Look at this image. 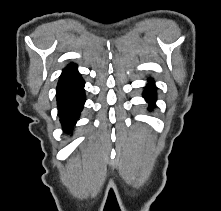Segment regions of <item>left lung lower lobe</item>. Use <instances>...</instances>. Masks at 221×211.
<instances>
[{
	"mask_svg": "<svg viewBox=\"0 0 221 211\" xmlns=\"http://www.w3.org/2000/svg\"><path fill=\"white\" fill-rule=\"evenodd\" d=\"M144 98L149 103V108L152 109L155 106L156 92L153 80L149 79V84L144 90Z\"/></svg>",
	"mask_w": 221,
	"mask_h": 211,
	"instance_id": "1",
	"label": "left lung lower lobe"
}]
</instances>
